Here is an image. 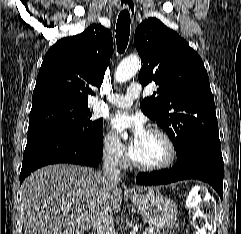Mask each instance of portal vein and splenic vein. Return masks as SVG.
Here are the masks:
<instances>
[{
    "mask_svg": "<svg viewBox=\"0 0 241 234\" xmlns=\"http://www.w3.org/2000/svg\"><path fill=\"white\" fill-rule=\"evenodd\" d=\"M148 233H149V234H151L152 232H151V231H149ZM144 234H147V233H144Z\"/></svg>",
    "mask_w": 241,
    "mask_h": 234,
    "instance_id": "obj_1",
    "label": "portal vein and splenic vein"
}]
</instances>
